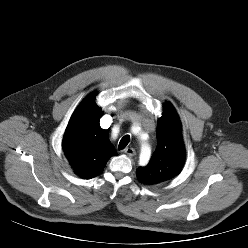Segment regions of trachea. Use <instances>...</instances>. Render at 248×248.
Returning <instances> with one entry per match:
<instances>
[{
  "label": "trachea",
  "instance_id": "trachea-1",
  "mask_svg": "<svg viewBox=\"0 0 248 248\" xmlns=\"http://www.w3.org/2000/svg\"><path fill=\"white\" fill-rule=\"evenodd\" d=\"M129 142H130V136L129 135H125L120 140L119 145H118V149L119 150L124 149L128 145Z\"/></svg>",
  "mask_w": 248,
  "mask_h": 248
}]
</instances>
